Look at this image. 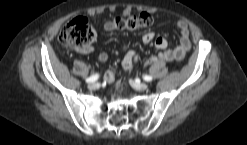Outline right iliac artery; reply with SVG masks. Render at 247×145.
<instances>
[{"instance_id": "1", "label": "right iliac artery", "mask_w": 247, "mask_h": 145, "mask_svg": "<svg viewBox=\"0 0 247 145\" xmlns=\"http://www.w3.org/2000/svg\"><path fill=\"white\" fill-rule=\"evenodd\" d=\"M99 75L98 74H94L92 76H90L89 78L86 79L87 83H92L95 82L98 79Z\"/></svg>"}]
</instances>
